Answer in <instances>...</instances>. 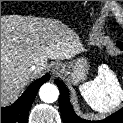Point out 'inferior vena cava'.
Wrapping results in <instances>:
<instances>
[{
    "instance_id": "obj_1",
    "label": "inferior vena cava",
    "mask_w": 123,
    "mask_h": 123,
    "mask_svg": "<svg viewBox=\"0 0 123 123\" xmlns=\"http://www.w3.org/2000/svg\"><path fill=\"white\" fill-rule=\"evenodd\" d=\"M36 66L35 65H32L30 68H29V72H34L36 70Z\"/></svg>"
}]
</instances>
